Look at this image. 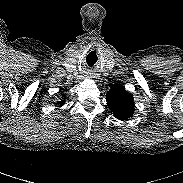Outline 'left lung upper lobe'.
<instances>
[{
  "instance_id": "left-lung-upper-lobe-1",
  "label": "left lung upper lobe",
  "mask_w": 183,
  "mask_h": 183,
  "mask_svg": "<svg viewBox=\"0 0 183 183\" xmlns=\"http://www.w3.org/2000/svg\"><path fill=\"white\" fill-rule=\"evenodd\" d=\"M107 105L119 120H128L135 109L133 95L128 93L124 86L114 85L107 92Z\"/></svg>"
}]
</instances>
